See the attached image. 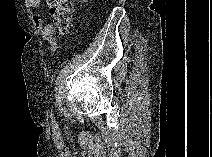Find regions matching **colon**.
Listing matches in <instances>:
<instances>
[{
  "instance_id": "1",
  "label": "colon",
  "mask_w": 212,
  "mask_h": 157,
  "mask_svg": "<svg viewBox=\"0 0 212 157\" xmlns=\"http://www.w3.org/2000/svg\"><path fill=\"white\" fill-rule=\"evenodd\" d=\"M51 18L61 33H66L71 25L72 20V4L66 0H58L50 2Z\"/></svg>"
}]
</instances>
